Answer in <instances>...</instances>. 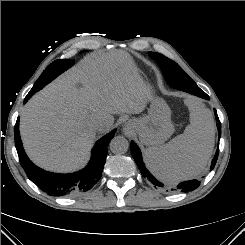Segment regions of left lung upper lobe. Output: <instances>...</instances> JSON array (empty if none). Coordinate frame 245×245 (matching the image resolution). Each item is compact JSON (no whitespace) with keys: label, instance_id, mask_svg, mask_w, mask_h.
Returning <instances> with one entry per match:
<instances>
[{"label":"left lung upper lobe","instance_id":"1","mask_svg":"<svg viewBox=\"0 0 245 245\" xmlns=\"http://www.w3.org/2000/svg\"><path fill=\"white\" fill-rule=\"evenodd\" d=\"M149 55L159 64L167 82L171 86H176L179 83H188V85L193 88L197 86L196 83L174 61L155 52H149Z\"/></svg>","mask_w":245,"mask_h":245}]
</instances>
